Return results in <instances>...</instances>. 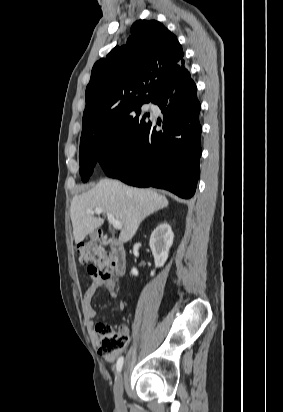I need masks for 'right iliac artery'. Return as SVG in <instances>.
I'll list each match as a JSON object with an SVG mask.
<instances>
[{"mask_svg": "<svg viewBox=\"0 0 283 412\" xmlns=\"http://www.w3.org/2000/svg\"><path fill=\"white\" fill-rule=\"evenodd\" d=\"M123 362H124V358H123V356H121V357L117 360V364H116L117 373H119V372L121 371L122 366H123Z\"/></svg>", "mask_w": 283, "mask_h": 412, "instance_id": "82829eb1", "label": "right iliac artery"}]
</instances>
